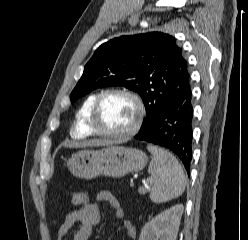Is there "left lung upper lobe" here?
Listing matches in <instances>:
<instances>
[{"instance_id":"obj_1","label":"left lung upper lobe","mask_w":248,"mask_h":240,"mask_svg":"<svg viewBox=\"0 0 248 240\" xmlns=\"http://www.w3.org/2000/svg\"><path fill=\"white\" fill-rule=\"evenodd\" d=\"M176 39L161 32L121 36L102 44L84 67L71 102L102 86L137 92L145 105L144 129L163 106L189 86L190 74Z\"/></svg>"}]
</instances>
